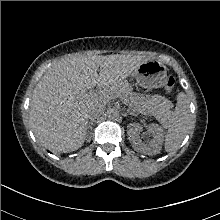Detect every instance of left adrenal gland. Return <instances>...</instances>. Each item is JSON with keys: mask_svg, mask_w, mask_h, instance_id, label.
I'll use <instances>...</instances> for the list:
<instances>
[{"mask_svg": "<svg viewBox=\"0 0 220 220\" xmlns=\"http://www.w3.org/2000/svg\"><path fill=\"white\" fill-rule=\"evenodd\" d=\"M128 113H129L130 115H135V113H133V112H129V111H128Z\"/></svg>", "mask_w": 220, "mask_h": 220, "instance_id": "a2214340", "label": "left adrenal gland"}]
</instances>
